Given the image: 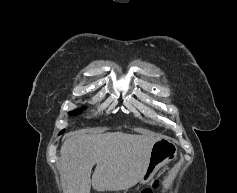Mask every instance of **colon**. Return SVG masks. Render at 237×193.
<instances>
[{
  "label": "colon",
  "mask_w": 237,
  "mask_h": 193,
  "mask_svg": "<svg viewBox=\"0 0 237 193\" xmlns=\"http://www.w3.org/2000/svg\"><path fill=\"white\" fill-rule=\"evenodd\" d=\"M157 185H158V183H157V181H155L152 186L143 188L140 191V193H154V190L157 188Z\"/></svg>",
  "instance_id": "obj_1"
}]
</instances>
